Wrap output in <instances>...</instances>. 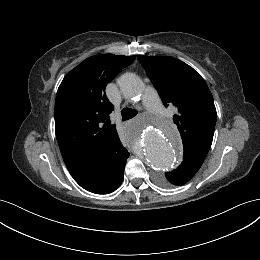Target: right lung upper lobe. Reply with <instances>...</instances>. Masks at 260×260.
<instances>
[{"instance_id":"cb5924a9","label":"right lung upper lobe","mask_w":260,"mask_h":260,"mask_svg":"<svg viewBox=\"0 0 260 260\" xmlns=\"http://www.w3.org/2000/svg\"><path fill=\"white\" fill-rule=\"evenodd\" d=\"M135 56H91L71 70L60 84L55 101V132L63 160L79 180L123 153L116 126L109 121L114 110L105 94L107 83Z\"/></svg>"}]
</instances>
